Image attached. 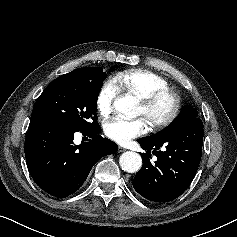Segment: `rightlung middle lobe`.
<instances>
[{
  "label": "right lung middle lobe",
  "mask_w": 237,
  "mask_h": 237,
  "mask_svg": "<svg viewBox=\"0 0 237 237\" xmlns=\"http://www.w3.org/2000/svg\"><path fill=\"white\" fill-rule=\"evenodd\" d=\"M105 78L102 67L78 68L59 76L38 97L31 121L63 125L78 131L98 126L97 99Z\"/></svg>",
  "instance_id": "right-lung-middle-lobe-1"
}]
</instances>
